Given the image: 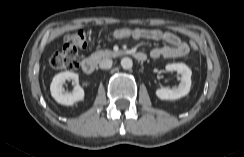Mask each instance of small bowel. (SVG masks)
Segmentation results:
<instances>
[{"mask_svg": "<svg viewBox=\"0 0 244 157\" xmlns=\"http://www.w3.org/2000/svg\"><path fill=\"white\" fill-rule=\"evenodd\" d=\"M132 38L165 42L167 45L151 50L150 56L153 59L178 58L185 56L189 52L188 44L169 31L159 29H135V34Z\"/></svg>", "mask_w": 244, "mask_h": 157, "instance_id": "small-bowel-1", "label": "small bowel"}]
</instances>
